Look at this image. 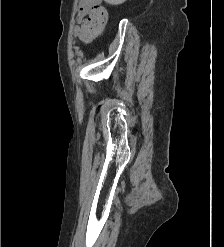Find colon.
I'll list each match as a JSON object with an SVG mask.
<instances>
[{
    "label": "colon",
    "instance_id": "5ec220e1",
    "mask_svg": "<svg viewBox=\"0 0 224 247\" xmlns=\"http://www.w3.org/2000/svg\"><path fill=\"white\" fill-rule=\"evenodd\" d=\"M108 13L102 6H95L91 9L88 18L83 22L81 37L91 41L103 32L107 25Z\"/></svg>",
    "mask_w": 224,
    "mask_h": 247
}]
</instances>
